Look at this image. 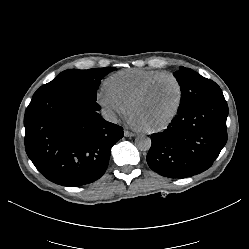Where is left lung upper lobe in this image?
I'll list each match as a JSON object with an SVG mask.
<instances>
[{
	"label": "left lung upper lobe",
	"mask_w": 249,
	"mask_h": 249,
	"mask_svg": "<svg viewBox=\"0 0 249 249\" xmlns=\"http://www.w3.org/2000/svg\"><path fill=\"white\" fill-rule=\"evenodd\" d=\"M181 87V102L178 112L201 100L224 97L220 87L192 69L180 67L173 74Z\"/></svg>",
	"instance_id": "1"
}]
</instances>
